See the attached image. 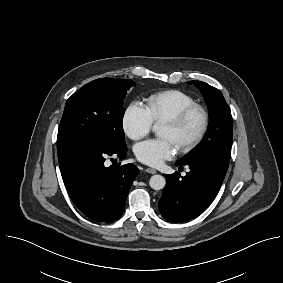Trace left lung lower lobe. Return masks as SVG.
Masks as SVG:
<instances>
[{
	"instance_id": "obj_1",
	"label": "left lung lower lobe",
	"mask_w": 283,
	"mask_h": 283,
	"mask_svg": "<svg viewBox=\"0 0 283 283\" xmlns=\"http://www.w3.org/2000/svg\"><path fill=\"white\" fill-rule=\"evenodd\" d=\"M190 172L181 177L175 172L166 175L167 184L159 200L162 216L171 222H185L199 216L215 199L226 175L207 163H188Z\"/></svg>"
}]
</instances>
